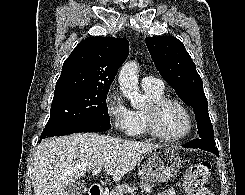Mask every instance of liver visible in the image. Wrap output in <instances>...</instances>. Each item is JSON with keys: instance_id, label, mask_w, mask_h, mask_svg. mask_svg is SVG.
Returning <instances> with one entry per match:
<instances>
[{"instance_id": "liver-1", "label": "liver", "mask_w": 245, "mask_h": 195, "mask_svg": "<svg viewBox=\"0 0 245 195\" xmlns=\"http://www.w3.org/2000/svg\"><path fill=\"white\" fill-rule=\"evenodd\" d=\"M159 147L96 133L46 139L37 146L34 156V195H66L69 184L101 165L114 180H120L143 154Z\"/></svg>"}]
</instances>
